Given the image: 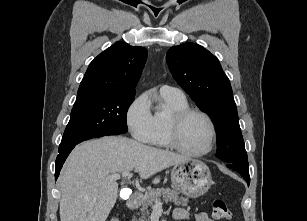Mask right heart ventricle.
Masks as SVG:
<instances>
[{
    "instance_id": "obj_1",
    "label": "right heart ventricle",
    "mask_w": 307,
    "mask_h": 221,
    "mask_svg": "<svg viewBox=\"0 0 307 221\" xmlns=\"http://www.w3.org/2000/svg\"><path fill=\"white\" fill-rule=\"evenodd\" d=\"M160 99L164 109L156 110L152 115L151 134L149 144L169 148V123L171 116L182 109L188 108L189 104L185 96H176L160 92Z\"/></svg>"
}]
</instances>
